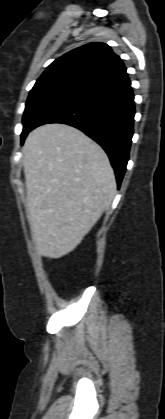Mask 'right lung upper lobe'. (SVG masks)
Masks as SVG:
<instances>
[{"instance_id": "obj_1", "label": "right lung upper lobe", "mask_w": 165, "mask_h": 419, "mask_svg": "<svg viewBox=\"0 0 165 419\" xmlns=\"http://www.w3.org/2000/svg\"><path fill=\"white\" fill-rule=\"evenodd\" d=\"M127 77L122 60L104 43H89L56 59L32 90L63 87L88 94Z\"/></svg>"}]
</instances>
